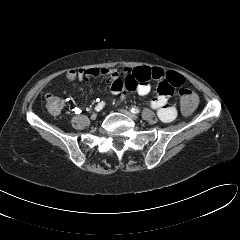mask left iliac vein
I'll return each mask as SVG.
<instances>
[{"mask_svg": "<svg viewBox=\"0 0 240 240\" xmlns=\"http://www.w3.org/2000/svg\"><path fill=\"white\" fill-rule=\"evenodd\" d=\"M121 113L125 114L126 116H128L129 118H131L132 120H137L138 119V116L125 110V109H120L119 110Z\"/></svg>", "mask_w": 240, "mask_h": 240, "instance_id": "4c4485c4", "label": "left iliac vein"}]
</instances>
